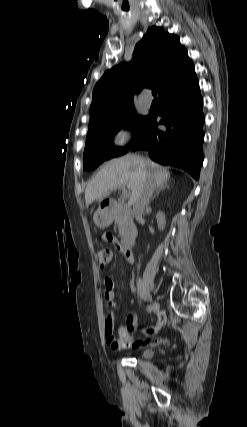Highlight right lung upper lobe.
Instances as JSON below:
<instances>
[{
  "mask_svg": "<svg viewBox=\"0 0 247 427\" xmlns=\"http://www.w3.org/2000/svg\"><path fill=\"white\" fill-rule=\"evenodd\" d=\"M193 67L179 38L162 28L150 27L135 46L129 64L108 70L93 90L89 129L115 119L133 106V95L155 88L160 95L172 82Z\"/></svg>",
  "mask_w": 247,
  "mask_h": 427,
  "instance_id": "right-lung-upper-lobe-1",
  "label": "right lung upper lobe"
}]
</instances>
